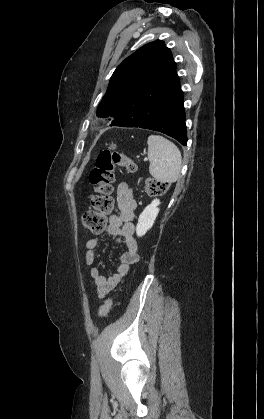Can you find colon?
<instances>
[{
  "label": "colon",
  "instance_id": "5ec220e1",
  "mask_svg": "<svg viewBox=\"0 0 264 419\" xmlns=\"http://www.w3.org/2000/svg\"><path fill=\"white\" fill-rule=\"evenodd\" d=\"M115 169L135 172V162L121 152L103 150L97 156L95 166L90 172L89 181L94 187L91 196V207L83 215V226L91 233H100L104 230L106 217L113 209L112 184ZM144 187L150 195H162L168 189V184L153 178L144 181ZM112 300L107 299L100 306L99 315L104 318L108 315Z\"/></svg>",
  "mask_w": 264,
  "mask_h": 419
}]
</instances>
